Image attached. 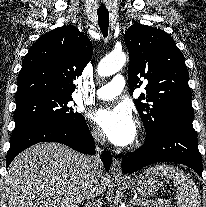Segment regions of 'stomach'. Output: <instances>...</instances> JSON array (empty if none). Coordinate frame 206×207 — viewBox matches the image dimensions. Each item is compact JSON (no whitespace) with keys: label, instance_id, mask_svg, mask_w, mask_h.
Wrapping results in <instances>:
<instances>
[{"label":"stomach","instance_id":"0dacf381","mask_svg":"<svg viewBox=\"0 0 206 207\" xmlns=\"http://www.w3.org/2000/svg\"><path fill=\"white\" fill-rule=\"evenodd\" d=\"M123 185L144 198L155 196L160 186L158 179L151 174L130 176L123 181Z\"/></svg>","mask_w":206,"mask_h":207}]
</instances>
